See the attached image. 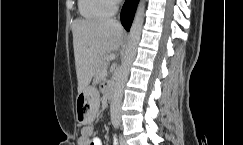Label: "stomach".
I'll list each match as a JSON object with an SVG mask.
<instances>
[{
  "mask_svg": "<svg viewBox=\"0 0 243 145\" xmlns=\"http://www.w3.org/2000/svg\"><path fill=\"white\" fill-rule=\"evenodd\" d=\"M101 94H88L86 90L79 93L76 101V120L81 124L91 123L97 114Z\"/></svg>",
  "mask_w": 243,
  "mask_h": 145,
  "instance_id": "0dacf381",
  "label": "stomach"
}]
</instances>
